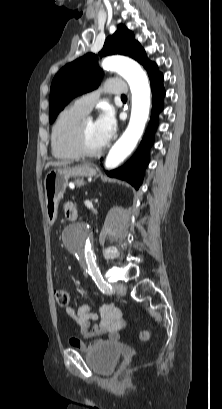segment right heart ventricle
Masks as SVG:
<instances>
[{
	"label": "right heart ventricle",
	"mask_w": 222,
	"mask_h": 409,
	"mask_svg": "<svg viewBox=\"0 0 222 409\" xmlns=\"http://www.w3.org/2000/svg\"><path fill=\"white\" fill-rule=\"evenodd\" d=\"M86 114L76 103L65 107L59 113L51 132V148L55 158L74 160L80 157L73 147L72 139L79 121Z\"/></svg>",
	"instance_id": "right-heart-ventricle-1"
}]
</instances>
